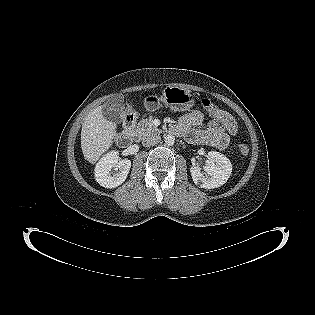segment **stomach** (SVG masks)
I'll list each match as a JSON object with an SVG mask.
<instances>
[{
    "label": "stomach",
    "mask_w": 315,
    "mask_h": 315,
    "mask_svg": "<svg viewBox=\"0 0 315 315\" xmlns=\"http://www.w3.org/2000/svg\"><path fill=\"white\" fill-rule=\"evenodd\" d=\"M147 100L154 102L155 109L162 102L173 111H188L195 102L190 91L177 86H167L160 97L151 96ZM120 115L124 119H133L137 115V106L133 102H124L120 106Z\"/></svg>",
    "instance_id": "1"
}]
</instances>
